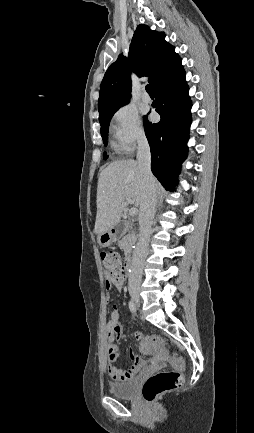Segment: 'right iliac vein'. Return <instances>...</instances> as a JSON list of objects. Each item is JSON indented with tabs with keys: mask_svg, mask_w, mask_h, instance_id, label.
<instances>
[{
	"mask_svg": "<svg viewBox=\"0 0 254 433\" xmlns=\"http://www.w3.org/2000/svg\"><path fill=\"white\" fill-rule=\"evenodd\" d=\"M131 297H132V299L135 301V303L137 305H140L141 301H140L139 293L137 291H132L131 292Z\"/></svg>",
	"mask_w": 254,
	"mask_h": 433,
	"instance_id": "63e3f726",
	"label": "right iliac vein"
}]
</instances>
